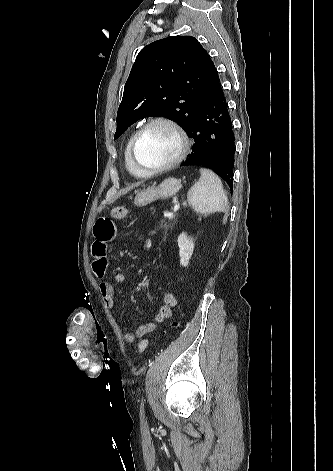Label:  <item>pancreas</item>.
I'll use <instances>...</instances> for the list:
<instances>
[{
    "label": "pancreas",
    "instance_id": "obj_1",
    "mask_svg": "<svg viewBox=\"0 0 333 471\" xmlns=\"http://www.w3.org/2000/svg\"><path fill=\"white\" fill-rule=\"evenodd\" d=\"M175 218H176V215H173L168 218L167 217L163 218L159 223V228L164 229L165 231L173 228L175 225V221H174Z\"/></svg>",
    "mask_w": 333,
    "mask_h": 471
}]
</instances>
